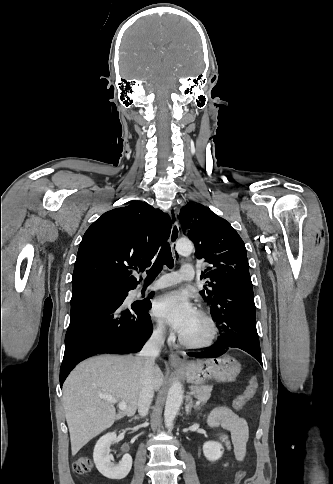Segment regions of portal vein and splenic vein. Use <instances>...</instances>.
<instances>
[{
    "label": "portal vein and splenic vein",
    "instance_id": "18ae733b",
    "mask_svg": "<svg viewBox=\"0 0 333 484\" xmlns=\"http://www.w3.org/2000/svg\"><path fill=\"white\" fill-rule=\"evenodd\" d=\"M103 399L111 402V403H119L118 404V407L120 410H125L127 408V404L124 402V401H117L115 399H113L112 397H109V396H102ZM197 404H199V402H197Z\"/></svg>",
    "mask_w": 333,
    "mask_h": 484
}]
</instances>
